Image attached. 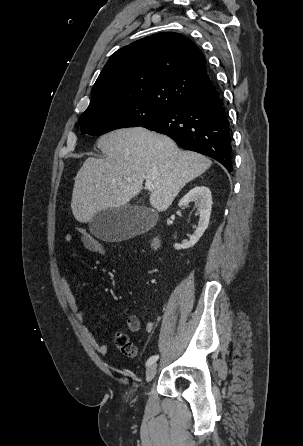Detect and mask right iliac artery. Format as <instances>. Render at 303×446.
I'll return each instance as SVG.
<instances>
[{
  "label": "right iliac artery",
  "instance_id": "right-iliac-artery-1",
  "mask_svg": "<svg viewBox=\"0 0 303 446\" xmlns=\"http://www.w3.org/2000/svg\"><path fill=\"white\" fill-rule=\"evenodd\" d=\"M158 358H159L158 355L151 356V357L147 360V362H146V366H150L151 364L155 363V362L157 361Z\"/></svg>",
  "mask_w": 303,
  "mask_h": 446
}]
</instances>
